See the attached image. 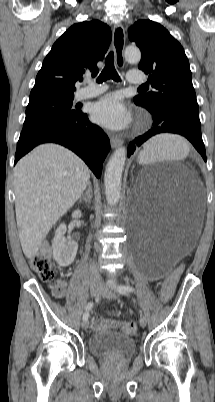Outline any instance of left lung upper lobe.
<instances>
[{"label": "left lung upper lobe", "instance_id": "1", "mask_svg": "<svg viewBox=\"0 0 215 402\" xmlns=\"http://www.w3.org/2000/svg\"><path fill=\"white\" fill-rule=\"evenodd\" d=\"M141 50L138 68L149 74L156 91L137 95L134 102L151 108H177L199 116L188 59L181 44L159 23L139 20L128 30Z\"/></svg>", "mask_w": 215, "mask_h": 402}]
</instances>
